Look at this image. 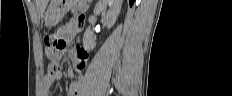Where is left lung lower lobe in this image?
I'll return each mask as SVG.
<instances>
[{"mask_svg":"<svg viewBox=\"0 0 232 96\" xmlns=\"http://www.w3.org/2000/svg\"><path fill=\"white\" fill-rule=\"evenodd\" d=\"M129 2H130V6H132L134 3V0H129Z\"/></svg>","mask_w":232,"mask_h":96,"instance_id":"0a47b994","label":"left lung lower lobe"}]
</instances>
